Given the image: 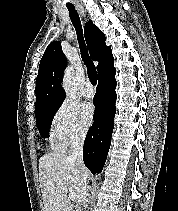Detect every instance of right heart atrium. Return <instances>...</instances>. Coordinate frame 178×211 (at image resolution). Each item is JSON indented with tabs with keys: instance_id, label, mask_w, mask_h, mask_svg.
Returning a JSON list of instances; mask_svg holds the SVG:
<instances>
[{
	"instance_id": "d8ad5b80",
	"label": "right heart atrium",
	"mask_w": 178,
	"mask_h": 211,
	"mask_svg": "<svg viewBox=\"0 0 178 211\" xmlns=\"http://www.w3.org/2000/svg\"><path fill=\"white\" fill-rule=\"evenodd\" d=\"M52 134L62 148L80 144L87 134V126L82 122L77 108L64 101L55 111L52 122Z\"/></svg>"
}]
</instances>
